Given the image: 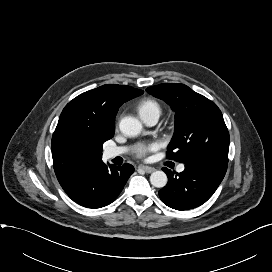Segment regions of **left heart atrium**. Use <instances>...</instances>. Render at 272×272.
I'll return each instance as SVG.
<instances>
[{
    "label": "left heart atrium",
    "instance_id": "1",
    "mask_svg": "<svg viewBox=\"0 0 272 272\" xmlns=\"http://www.w3.org/2000/svg\"><path fill=\"white\" fill-rule=\"evenodd\" d=\"M155 148L154 145H145V146H140L137 149V155L139 157H144L149 151L153 150Z\"/></svg>",
    "mask_w": 272,
    "mask_h": 272
}]
</instances>
